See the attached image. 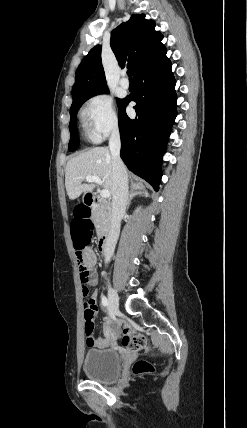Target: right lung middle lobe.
Segmentation results:
<instances>
[{
    "mask_svg": "<svg viewBox=\"0 0 247 428\" xmlns=\"http://www.w3.org/2000/svg\"><path fill=\"white\" fill-rule=\"evenodd\" d=\"M107 92H108V90L91 94L89 96L82 98L81 100L77 101L76 103L72 104V106L70 108V124H69L70 141H69V145H68V148L70 151L76 150L78 148V145H79L78 136H77V127H76V118H77V112H78L79 108L89 98H91L97 94L107 93ZM117 102H118V106L120 107V105L123 102V99H118Z\"/></svg>",
    "mask_w": 247,
    "mask_h": 428,
    "instance_id": "1",
    "label": "right lung middle lobe"
}]
</instances>
